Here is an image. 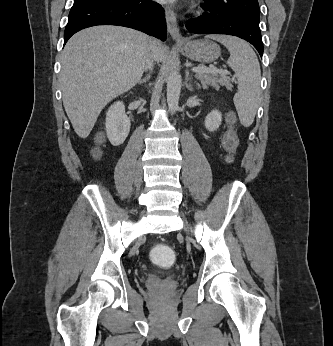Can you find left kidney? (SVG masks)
Returning a JSON list of instances; mask_svg holds the SVG:
<instances>
[{
    "mask_svg": "<svg viewBox=\"0 0 333 346\" xmlns=\"http://www.w3.org/2000/svg\"><path fill=\"white\" fill-rule=\"evenodd\" d=\"M222 122V115L218 110H212L206 117H205V127L208 131H215L219 128Z\"/></svg>",
    "mask_w": 333,
    "mask_h": 346,
    "instance_id": "1",
    "label": "left kidney"
}]
</instances>
